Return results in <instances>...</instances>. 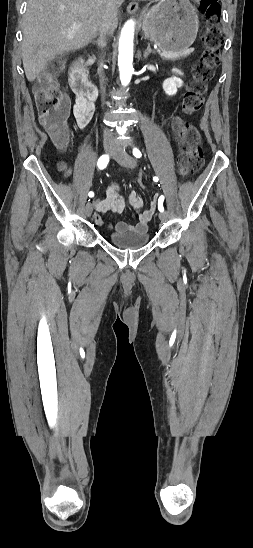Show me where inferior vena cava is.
<instances>
[{
  "label": "inferior vena cava",
  "instance_id": "602c4592",
  "mask_svg": "<svg viewBox=\"0 0 253 548\" xmlns=\"http://www.w3.org/2000/svg\"><path fill=\"white\" fill-rule=\"evenodd\" d=\"M124 0H104L105 9L102 17V22L99 27V40H106V37L113 35L115 27L114 20L117 16L118 9ZM99 77H100V86L102 92H105V77L103 73V61L100 62L98 66ZM104 103V99H103ZM104 139H114V134L112 131L105 129L104 130Z\"/></svg>",
  "mask_w": 253,
  "mask_h": 548
}]
</instances>
